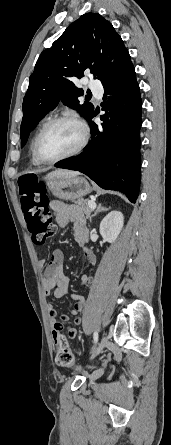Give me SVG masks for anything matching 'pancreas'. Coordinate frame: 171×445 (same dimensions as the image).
<instances>
[{"label": "pancreas", "instance_id": "obj_1", "mask_svg": "<svg viewBox=\"0 0 171 445\" xmlns=\"http://www.w3.org/2000/svg\"><path fill=\"white\" fill-rule=\"evenodd\" d=\"M73 202L74 204L68 208V216L72 221L77 220L79 217H83L84 214L86 215V218L90 217L91 209L88 206L87 200L78 199Z\"/></svg>", "mask_w": 171, "mask_h": 445}]
</instances>
